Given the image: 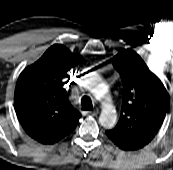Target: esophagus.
<instances>
[{
    "mask_svg": "<svg viewBox=\"0 0 173 170\" xmlns=\"http://www.w3.org/2000/svg\"><path fill=\"white\" fill-rule=\"evenodd\" d=\"M99 113L98 109H94L93 111H86V114L96 116Z\"/></svg>",
    "mask_w": 173,
    "mask_h": 170,
    "instance_id": "34e87169",
    "label": "esophagus"
}]
</instances>
